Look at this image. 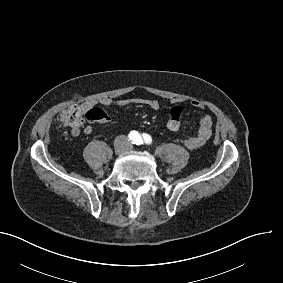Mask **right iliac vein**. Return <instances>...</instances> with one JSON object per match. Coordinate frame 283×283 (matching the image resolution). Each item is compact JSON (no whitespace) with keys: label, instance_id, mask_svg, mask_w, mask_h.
<instances>
[{"label":"right iliac vein","instance_id":"63e3f726","mask_svg":"<svg viewBox=\"0 0 283 283\" xmlns=\"http://www.w3.org/2000/svg\"><path fill=\"white\" fill-rule=\"evenodd\" d=\"M125 150H126V146H124L123 144H119L116 148V153L123 154Z\"/></svg>","mask_w":283,"mask_h":283}]
</instances>
